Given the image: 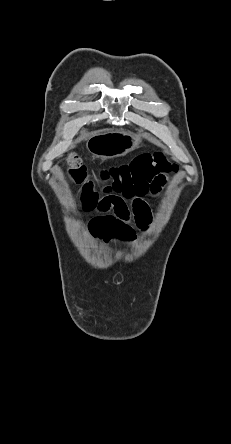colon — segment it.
Wrapping results in <instances>:
<instances>
[{
	"mask_svg": "<svg viewBox=\"0 0 231 444\" xmlns=\"http://www.w3.org/2000/svg\"><path fill=\"white\" fill-rule=\"evenodd\" d=\"M67 169L70 178L79 185H83V192L87 197H97L93 191L94 185L88 180L86 167L75 154L67 158ZM176 170L175 165L169 163L161 153L138 156L130 164L103 170L101 179L106 182L104 193H115L117 197L130 199L134 210L141 207V197L151 191V183L162 181L164 175Z\"/></svg>",
	"mask_w": 231,
	"mask_h": 444,
	"instance_id": "colon-1",
	"label": "colon"
}]
</instances>
